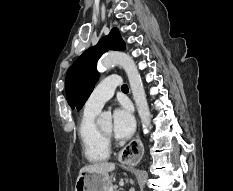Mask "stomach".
I'll return each instance as SVG.
<instances>
[{
	"instance_id": "stomach-1",
	"label": "stomach",
	"mask_w": 233,
	"mask_h": 191,
	"mask_svg": "<svg viewBox=\"0 0 233 191\" xmlns=\"http://www.w3.org/2000/svg\"><path fill=\"white\" fill-rule=\"evenodd\" d=\"M110 185L108 173L81 172L75 183V191H107Z\"/></svg>"
}]
</instances>
